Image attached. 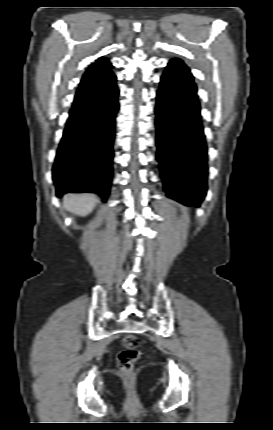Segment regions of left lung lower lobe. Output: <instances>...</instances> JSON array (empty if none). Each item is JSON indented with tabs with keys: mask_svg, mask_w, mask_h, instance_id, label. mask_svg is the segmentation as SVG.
<instances>
[{
	"mask_svg": "<svg viewBox=\"0 0 273 430\" xmlns=\"http://www.w3.org/2000/svg\"><path fill=\"white\" fill-rule=\"evenodd\" d=\"M187 72L161 77L156 105L159 168L169 198L199 207L207 191V146L197 91L184 86Z\"/></svg>",
	"mask_w": 273,
	"mask_h": 430,
	"instance_id": "left-lung-lower-lobe-1",
	"label": "left lung lower lobe"
}]
</instances>
